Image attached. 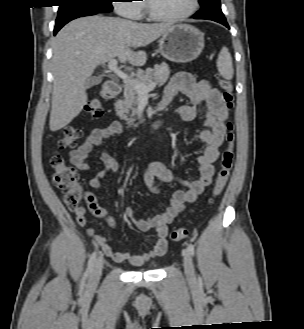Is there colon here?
<instances>
[{
  "label": "colon",
  "mask_w": 304,
  "mask_h": 329,
  "mask_svg": "<svg viewBox=\"0 0 304 329\" xmlns=\"http://www.w3.org/2000/svg\"><path fill=\"white\" fill-rule=\"evenodd\" d=\"M218 85L222 90V97L228 111L233 108V86L230 80L218 77ZM88 116L93 119H99L103 115L102 103L99 98H92L87 103ZM226 147L224 148L220 167L217 173L214 187L211 191L210 202L218 197L225 189L234 161V143L235 134L231 121L226 123ZM81 136V131L74 127L68 126L64 129L63 137L59 140L60 149H69L76 145L77 139ZM50 164L52 167V182L60 190L64 191V202L69 210L77 211L80 209L81 201L85 195L82 187L78 183L79 175L75 167L66 162L59 154L54 153L51 156ZM187 236V230L178 228L172 231L171 239L181 241Z\"/></svg>",
  "instance_id": "5ec220e1"
}]
</instances>
